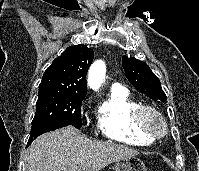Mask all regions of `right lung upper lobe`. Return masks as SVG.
Here are the masks:
<instances>
[{
	"instance_id": "right-lung-upper-lobe-1",
	"label": "right lung upper lobe",
	"mask_w": 199,
	"mask_h": 171,
	"mask_svg": "<svg viewBox=\"0 0 199 171\" xmlns=\"http://www.w3.org/2000/svg\"><path fill=\"white\" fill-rule=\"evenodd\" d=\"M93 57V50L84 45L68 47L46 69L39 89L58 90L85 97L87 93L86 74Z\"/></svg>"
}]
</instances>
